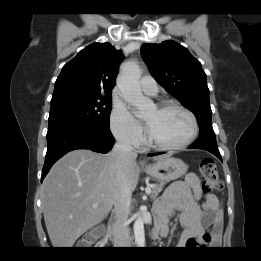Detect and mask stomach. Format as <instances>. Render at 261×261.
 Returning <instances> with one entry per match:
<instances>
[{
    "instance_id": "1",
    "label": "stomach",
    "mask_w": 261,
    "mask_h": 261,
    "mask_svg": "<svg viewBox=\"0 0 261 261\" xmlns=\"http://www.w3.org/2000/svg\"><path fill=\"white\" fill-rule=\"evenodd\" d=\"M187 168L181 159L166 155L156 163L146 166L145 172L161 182H170L183 176Z\"/></svg>"
}]
</instances>
